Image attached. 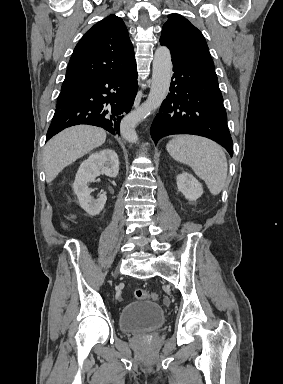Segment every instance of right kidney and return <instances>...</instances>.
I'll return each mask as SVG.
<instances>
[{"label": "right kidney", "instance_id": "obj_1", "mask_svg": "<svg viewBox=\"0 0 283 384\" xmlns=\"http://www.w3.org/2000/svg\"><path fill=\"white\" fill-rule=\"evenodd\" d=\"M119 172V160L114 150H101L91 154L88 160L82 162L76 174L73 184V192L78 198V202L89 214V216H97L102 212L106 204V194H98V200H94L90 196L91 188H88L90 182H95V178L100 174H105L109 178H116Z\"/></svg>", "mask_w": 283, "mask_h": 384}]
</instances>
